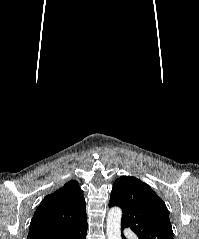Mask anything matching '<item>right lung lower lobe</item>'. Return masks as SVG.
Instances as JSON below:
<instances>
[{
  "label": "right lung lower lobe",
  "instance_id": "1",
  "mask_svg": "<svg viewBox=\"0 0 199 239\" xmlns=\"http://www.w3.org/2000/svg\"><path fill=\"white\" fill-rule=\"evenodd\" d=\"M86 230H87V222L60 235L38 237L35 239H86Z\"/></svg>",
  "mask_w": 199,
  "mask_h": 239
}]
</instances>
